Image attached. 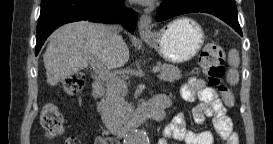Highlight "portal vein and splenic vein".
Listing matches in <instances>:
<instances>
[{
	"instance_id": "portal-vein-and-splenic-vein-1",
	"label": "portal vein and splenic vein",
	"mask_w": 273,
	"mask_h": 144,
	"mask_svg": "<svg viewBox=\"0 0 273 144\" xmlns=\"http://www.w3.org/2000/svg\"><path fill=\"white\" fill-rule=\"evenodd\" d=\"M92 64L95 67V72L99 78H101L107 86L109 87H119L121 89L127 90V83L115 75L109 73L102 65L96 63L95 59L89 56ZM160 71L159 67H154L152 69L153 73H158Z\"/></svg>"
}]
</instances>
